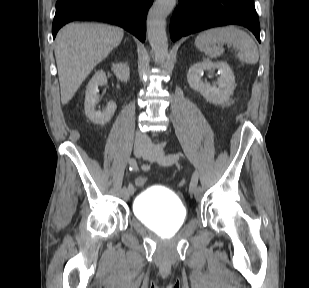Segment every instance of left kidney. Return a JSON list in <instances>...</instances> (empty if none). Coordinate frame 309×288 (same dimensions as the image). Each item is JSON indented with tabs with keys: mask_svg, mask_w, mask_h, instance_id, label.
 Instances as JSON below:
<instances>
[{
	"mask_svg": "<svg viewBox=\"0 0 309 288\" xmlns=\"http://www.w3.org/2000/svg\"><path fill=\"white\" fill-rule=\"evenodd\" d=\"M214 69H217L220 74L217 82L213 85L203 82L201 77L204 71ZM187 81L192 89L215 105L227 102L236 87L234 73L224 61L212 62L204 60L192 65L187 73Z\"/></svg>",
	"mask_w": 309,
	"mask_h": 288,
	"instance_id": "obj_1",
	"label": "left kidney"
}]
</instances>
